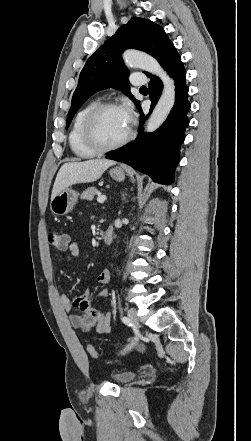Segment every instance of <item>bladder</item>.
<instances>
[{"label":"bladder","mask_w":251,"mask_h":441,"mask_svg":"<svg viewBox=\"0 0 251 441\" xmlns=\"http://www.w3.org/2000/svg\"><path fill=\"white\" fill-rule=\"evenodd\" d=\"M137 373L134 371H120L111 375L112 380L117 384H127L135 379Z\"/></svg>","instance_id":"31cf9c89"}]
</instances>
